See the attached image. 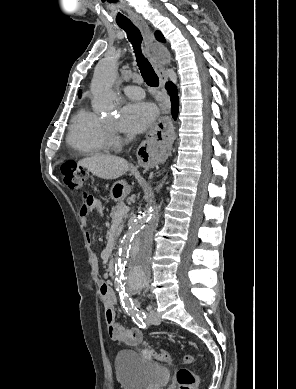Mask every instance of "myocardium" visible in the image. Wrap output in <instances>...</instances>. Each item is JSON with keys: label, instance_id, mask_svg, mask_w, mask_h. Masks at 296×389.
I'll return each instance as SVG.
<instances>
[{"label": "myocardium", "instance_id": "obj_1", "mask_svg": "<svg viewBox=\"0 0 296 389\" xmlns=\"http://www.w3.org/2000/svg\"><path fill=\"white\" fill-rule=\"evenodd\" d=\"M105 129L108 141H114V128L113 124L110 121H105Z\"/></svg>", "mask_w": 296, "mask_h": 389}]
</instances>
